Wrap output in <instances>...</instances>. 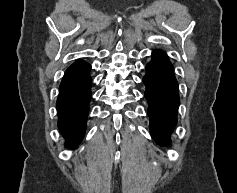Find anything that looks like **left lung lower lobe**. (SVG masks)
Instances as JSON below:
<instances>
[{
  "instance_id": "left-lung-lower-lobe-1",
  "label": "left lung lower lobe",
  "mask_w": 237,
  "mask_h": 193,
  "mask_svg": "<svg viewBox=\"0 0 237 193\" xmlns=\"http://www.w3.org/2000/svg\"><path fill=\"white\" fill-rule=\"evenodd\" d=\"M146 86L145 98L148 101L150 131L160 145L170 142V134L177 123L179 106L178 83L173 66L162 50H154L152 59L146 65L143 78Z\"/></svg>"
}]
</instances>
